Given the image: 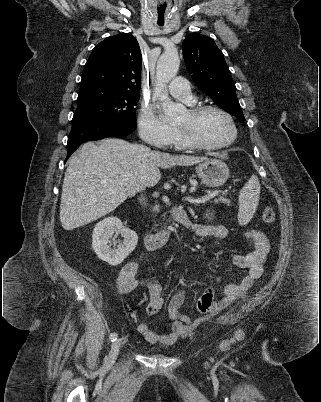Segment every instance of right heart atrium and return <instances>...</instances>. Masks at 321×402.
I'll list each match as a JSON object with an SVG mask.
<instances>
[{
	"instance_id": "1",
	"label": "right heart atrium",
	"mask_w": 321,
	"mask_h": 402,
	"mask_svg": "<svg viewBox=\"0 0 321 402\" xmlns=\"http://www.w3.org/2000/svg\"><path fill=\"white\" fill-rule=\"evenodd\" d=\"M137 128L141 139L154 147L165 148L172 144L176 129L164 123L148 106L140 109Z\"/></svg>"
}]
</instances>
